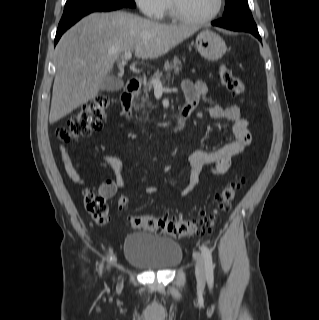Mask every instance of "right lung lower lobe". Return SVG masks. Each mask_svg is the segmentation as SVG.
Wrapping results in <instances>:
<instances>
[{"mask_svg": "<svg viewBox=\"0 0 319 320\" xmlns=\"http://www.w3.org/2000/svg\"><path fill=\"white\" fill-rule=\"evenodd\" d=\"M123 6H112V7H107V8H97V9H94V10H91L87 13H84L82 15H79L75 18H73L72 20H70L69 22L63 24V25H59L58 26V29H57V33H56V37H55V40H54V44L56 45V43L58 42V40L60 39L61 35L69 28L71 27L73 24H75L78 20H80L83 16L89 14V13H92V12H96V11H112V10H116V9H119Z\"/></svg>", "mask_w": 319, "mask_h": 320, "instance_id": "1", "label": "right lung lower lobe"}]
</instances>
